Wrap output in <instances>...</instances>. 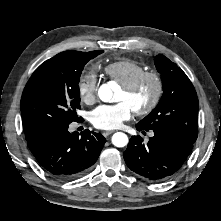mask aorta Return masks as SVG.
Wrapping results in <instances>:
<instances>
[{"mask_svg":"<svg viewBox=\"0 0 221 221\" xmlns=\"http://www.w3.org/2000/svg\"><path fill=\"white\" fill-rule=\"evenodd\" d=\"M98 96L103 102H110L113 96L112 88L109 84H103L98 90ZM112 144L116 147H124L128 144V137L123 132H116L112 136Z\"/></svg>","mask_w":221,"mask_h":221,"instance_id":"aorta-1","label":"aorta"}]
</instances>
